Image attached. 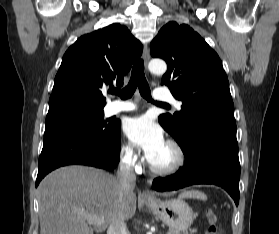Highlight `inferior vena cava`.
<instances>
[{
  "instance_id": "obj_1",
  "label": "inferior vena cava",
  "mask_w": 279,
  "mask_h": 234,
  "mask_svg": "<svg viewBox=\"0 0 279 234\" xmlns=\"http://www.w3.org/2000/svg\"><path fill=\"white\" fill-rule=\"evenodd\" d=\"M117 180L121 184L124 191H128L135 187L136 176L134 173L131 158L124 159L117 171ZM107 234H130L124 219H118L109 224Z\"/></svg>"
}]
</instances>
